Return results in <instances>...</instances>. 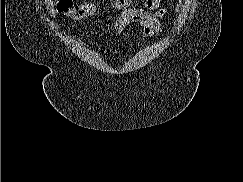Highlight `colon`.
<instances>
[{"label":"colon","instance_id":"5ec220e1","mask_svg":"<svg viewBox=\"0 0 243 182\" xmlns=\"http://www.w3.org/2000/svg\"><path fill=\"white\" fill-rule=\"evenodd\" d=\"M133 0H112L114 9H125L132 4ZM57 11L69 18L78 20L95 14L97 6L93 2L74 3L73 0H57Z\"/></svg>","mask_w":243,"mask_h":182}]
</instances>
